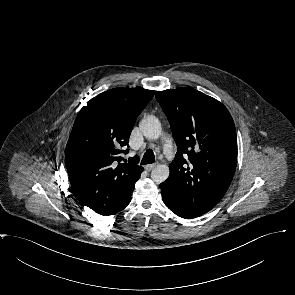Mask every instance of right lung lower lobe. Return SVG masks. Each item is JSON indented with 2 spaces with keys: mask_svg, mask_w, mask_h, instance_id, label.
<instances>
[{
  "mask_svg": "<svg viewBox=\"0 0 295 295\" xmlns=\"http://www.w3.org/2000/svg\"><path fill=\"white\" fill-rule=\"evenodd\" d=\"M139 178H140V176H139ZM133 190H134V188H133ZM133 190H131L129 192V194L123 199V201H122V203L120 204L119 207L115 208L114 210H112V211H110L108 213L102 214V215H113V214L121 211L122 209H124L130 203V201H131V195H132V191Z\"/></svg>",
  "mask_w": 295,
  "mask_h": 295,
  "instance_id": "1",
  "label": "right lung lower lobe"
}]
</instances>
